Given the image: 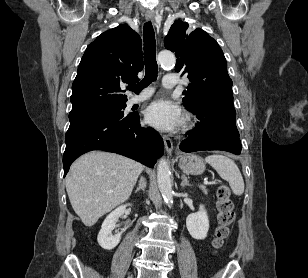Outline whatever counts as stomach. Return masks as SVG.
<instances>
[{
	"instance_id": "1",
	"label": "stomach",
	"mask_w": 308,
	"mask_h": 278,
	"mask_svg": "<svg viewBox=\"0 0 308 278\" xmlns=\"http://www.w3.org/2000/svg\"><path fill=\"white\" fill-rule=\"evenodd\" d=\"M179 167L186 174L200 175L205 170V163L200 156L188 154L180 158Z\"/></svg>"
}]
</instances>
